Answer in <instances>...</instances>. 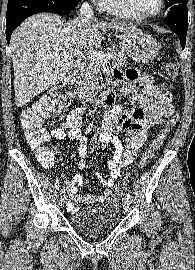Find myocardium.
<instances>
[{"label":"myocardium","mask_w":195,"mask_h":270,"mask_svg":"<svg viewBox=\"0 0 195 270\" xmlns=\"http://www.w3.org/2000/svg\"><path fill=\"white\" fill-rule=\"evenodd\" d=\"M123 1H124L125 6L127 7V9L132 14H134L137 18H139L140 20L154 18V17L158 16L164 8V0H159V7H158L156 12H154L152 14H141L134 8L131 0H123Z\"/></svg>","instance_id":"myocardium-1"}]
</instances>
